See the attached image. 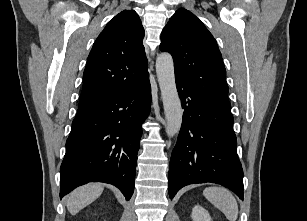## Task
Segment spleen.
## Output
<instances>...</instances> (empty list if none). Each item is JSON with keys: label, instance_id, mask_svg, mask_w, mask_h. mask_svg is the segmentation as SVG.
<instances>
[{"label": "spleen", "instance_id": "spleen-1", "mask_svg": "<svg viewBox=\"0 0 307 221\" xmlns=\"http://www.w3.org/2000/svg\"><path fill=\"white\" fill-rule=\"evenodd\" d=\"M203 194L215 207L223 212L229 221H236L238 204L234 196L223 187H207Z\"/></svg>", "mask_w": 307, "mask_h": 221}]
</instances>
